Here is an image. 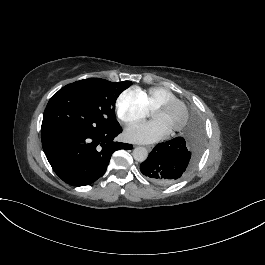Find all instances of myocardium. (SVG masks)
<instances>
[{
  "instance_id": "1",
  "label": "myocardium",
  "mask_w": 265,
  "mask_h": 265,
  "mask_svg": "<svg viewBox=\"0 0 265 265\" xmlns=\"http://www.w3.org/2000/svg\"><path fill=\"white\" fill-rule=\"evenodd\" d=\"M173 104H178L181 107L182 115H181V118L179 119V121L169 129V132L180 131L186 125L187 120H188V116H189V111H188V107L186 106V104L183 101H181L175 97L168 98V99L162 100L159 103H157L154 106V108L152 109V113H151V115H152L156 111H158L160 109H164L166 107H169Z\"/></svg>"
}]
</instances>
